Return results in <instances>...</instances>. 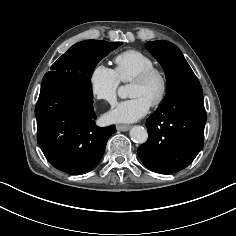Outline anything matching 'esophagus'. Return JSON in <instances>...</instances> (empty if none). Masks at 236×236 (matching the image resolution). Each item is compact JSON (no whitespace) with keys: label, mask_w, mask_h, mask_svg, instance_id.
I'll return each instance as SVG.
<instances>
[{"label":"esophagus","mask_w":236,"mask_h":236,"mask_svg":"<svg viewBox=\"0 0 236 236\" xmlns=\"http://www.w3.org/2000/svg\"><path fill=\"white\" fill-rule=\"evenodd\" d=\"M129 129H130L129 125H116L117 131L125 132V131H128Z\"/></svg>","instance_id":"obj_1"}]
</instances>
